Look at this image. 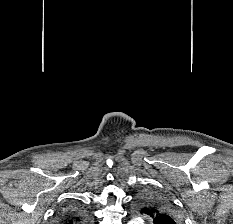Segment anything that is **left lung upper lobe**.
<instances>
[{"label": "left lung upper lobe", "instance_id": "left-lung-upper-lobe-1", "mask_svg": "<svg viewBox=\"0 0 233 224\" xmlns=\"http://www.w3.org/2000/svg\"><path fill=\"white\" fill-rule=\"evenodd\" d=\"M137 209L147 215L153 224H182V219L173 203L155 191L142 193L137 199Z\"/></svg>", "mask_w": 233, "mask_h": 224}]
</instances>
